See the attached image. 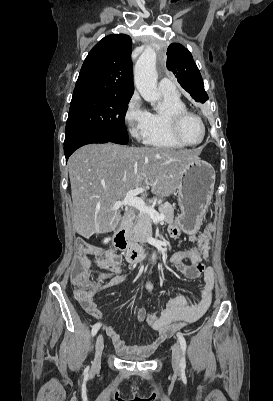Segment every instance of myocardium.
Here are the masks:
<instances>
[{
    "instance_id": "myocardium-1",
    "label": "myocardium",
    "mask_w": 273,
    "mask_h": 401,
    "mask_svg": "<svg viewBox=\"0 0 273 401\" xmlns=\"http://www.w3.org/2000/svg\"><path fill=\"white\" fill-rule=\"evenodd\" d=\"M187 116L197 117L202 124L203 138L199 142L189 143V142L185 141L180 135V131H179L180 124L184 120V118ZM169 129H170V133H171L172 137L177 142H179L180 144H182L183 146H186V147L199 146L202 143H204L208 137V128H207L205 119L199 113L189 111L187 109L174 111L169 114Z\"/></svg>"
}]
</instances>
